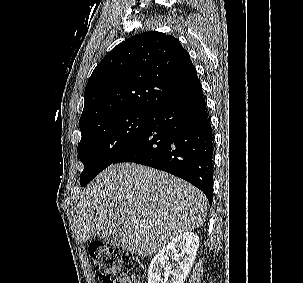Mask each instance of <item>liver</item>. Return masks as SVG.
I'll return each mask as SVG.
<instances>
[{
	"instance_id": "1",
	"label": "liver",
	"mask_w": 303,
	"mask_h": 283,
	"mask_svg": "<svg viewBox=\"0 0 303 283\" xmlns=\"http://www.w3.org/2000/svg\"><path fill=\"white\" fill-rule=\"evenodd\" d=\"M75 224L80 242L120 234V246L140 256L203 225L207 199L193 185L135 163L111 165L83 191Z\"/></svg>"
}]
</instances>
